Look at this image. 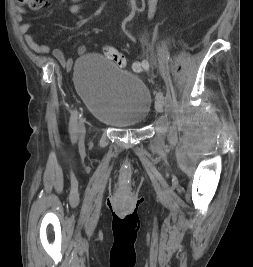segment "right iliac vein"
<instances>
[{"instance_id": "1", "label": "right iliac vein", "mask_w": 253, "mask_h": 267, "mask_svg": "<svg viewBox=\"0 0 253 267\" xmlns=\"http://www.w3.org/2000/svg\"><path fill=\"white\" fill-rule=\"evenodd\" d=\"M86 134L85 126L83 122H80L79 124V135H80V140H83Z\"/></svg>"}]
</instances>
